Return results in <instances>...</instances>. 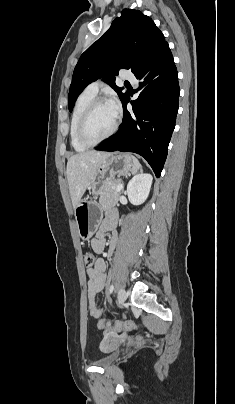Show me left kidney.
I'll use <instances>...</instances> for the list:
<instances>
[{
  "instance_id": "left-kidney-1",
  "label": "left kidney",
  "mask_w": 235,
  "mask_h": 404,
  "mask_svg": "<svg viewBox=\"0 0 235 404\" xmlns=\"http://www.w3.org/2000/svg\"><path fill=\"white\" fill-rule=\"evenodd\" d=\"M153 177L148 173L135 175L127 185L129 201L134 205L142 204L149 195Z\"/></svg>"
}]
</instances>
